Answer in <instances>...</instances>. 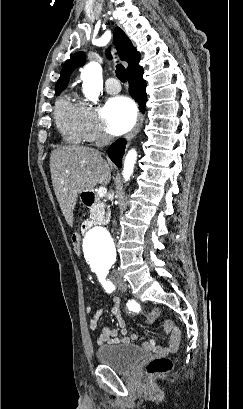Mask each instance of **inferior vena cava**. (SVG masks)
<instances>
[{
  "mask_svg": "<svg viewBox=\"0 0 243 409\" xmlns=\"http://www.w3.org/2000/svg\"><path fill=\"white\" fill-rule=\"evenodd\" d=\"M110 141H111V137L109 135L103 133L97 138L95 145L98 148H102V147L108 145L110 143Z\"/></svg>",
  "mask_w": 243,
  "mask_h": 409,
  "instance_id": "602c4592",
  "label": "inferior vena cava"
}]
</instances>
